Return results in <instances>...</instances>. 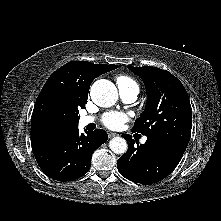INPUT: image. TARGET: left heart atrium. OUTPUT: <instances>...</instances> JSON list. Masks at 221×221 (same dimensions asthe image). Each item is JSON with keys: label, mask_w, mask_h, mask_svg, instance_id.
Wrapping results in <instances>:
<instances>
[{"label": "left heart atrium", "mask_w": 221, "mask_h": 221, "mask_svg": "<svg viewBox=\"0 0 221 221\" xmlns=\"http://www.w3.org/2000/svg\"><path fill=\"white\" fill-rule=\"evenodd\" d=\"M129 117L127 114L117 111L106 113L102 118V123L109 129H120Z\"/></svg>", "instance_id": "39dd6f15"}]
</instances>
